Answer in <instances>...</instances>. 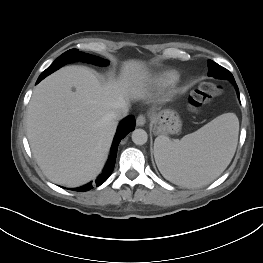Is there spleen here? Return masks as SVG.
I'll use <instances>...</instances> for the list:
<instances>
[{
  "label": "spleen",
  "mask_w": 263,
  "mask_h": 263,
  "mask_svg": "<svg viewBox=\"0 0 263 263\" xmlns=\"http://www.w3.org/2000/svg\"><path fill=\"white\" fill-rule=\"evenodd\" d=\"M239 121L234 113L222 114L197 131L172 141L160 135L154 142L159 171L170 182L200 187L214 181L236 151Z\"/></svg>",
  "instance_id": "obj_1"
}]
</instances>
